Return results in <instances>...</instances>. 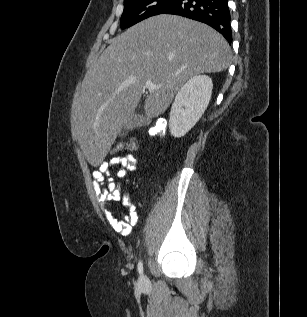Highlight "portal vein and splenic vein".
I'll use <instances>...</instances> for the list:
<instances>
[{
    "mask_svg": "<svg viewBox=\"0 0 307 317\" xmlns=\"http://www.w3.org/2000/svg\"><path fill=\"white\" fill-rule=\"evenodd\" d=\"M145 87L148 90H153V89H159L161 87V85H156L152 81H146L145 82Z\"/></svg>",
    "mask_w": 307,
    "mask_h": 317,
    "instance_id": "18ae733b",
    "label": "portal vein and splenic vein"
}]
</instances>
